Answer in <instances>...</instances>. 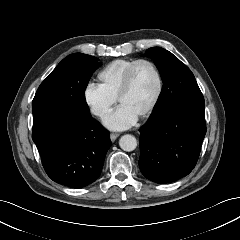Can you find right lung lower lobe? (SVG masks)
<instances>
[{"instance_id":"right-lung-lower-lobe-1","label":"right lung lower lobe","mask_w":240,"mask_h":240,"mask_svg":"<svg viewBox=\"0 0 240 240\" xmlns=\"http://www.w3.org/2000/svg\"><path fill=\"white\" fill-rule=\"evenodd\" d=\"M32 111V139L47 175L71 188L97 180L112 143L110 133L90 111L58 105L36 106Z\"/></svg>"}]
</instances>
